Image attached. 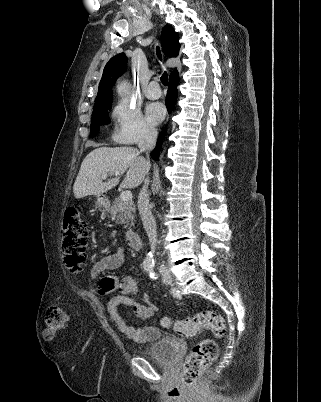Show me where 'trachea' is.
<instances>
[{
	"label": "trachea",
	"instance_id": "trachea-1",
	"mask_svg": "<svg viewBox=\"0 0 321 402\" xmlns=\"http://www.w3.org/2000/svg\"><path fill=\"white\" fill-rule=\"evenodd\" d=\"M156 53H157L158 58H159L160 60H162V56H161V52H160L159 47H157ZM161 82H162V84H163L164 86H167V83H168V75H167V72H164V73L162 74V76H161Z\"/></svg>",
	"mask_w": 321,
	"mask_h": 402
}]
</instances>
